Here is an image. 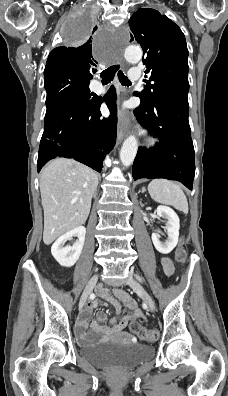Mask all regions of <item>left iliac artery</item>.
Masks as SVG:
<instances>
[{
	"label": "left iliac artery",
	"instance_id": "44dca946",
	"mask_svg": "<svg viewBox=\"0 0 228 396\" xmlns=\"http://www.w3.org/2000/svg\"><path fill=\"white\" fill-rule=\"evenodd\" d=\"M137 279H139L141 281V278L139 276H136Z\"/></svg>",
	"mask_w": 228,
	"mask_h": 396
}]
</instances>
